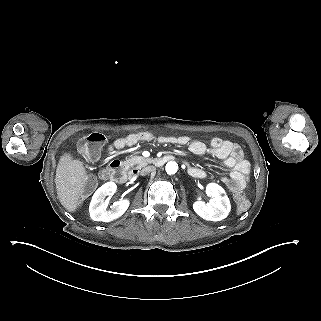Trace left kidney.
<instances>
[{
  "mask_svg": "<svg viewBox=\"0 0 321 321\" xmlns=\"http://www.w3.org/2000/svg\"><path fill=\"white\" fill-rule=\"evenodd\" d=\"M206 194L212 199L209 203L195 202L193 210L207 221H221L225 219L230 211L231 204L225 190L217 183L210 182L206 185Z\"/></svg>",
  "mask_w": 321,
  "mask_h": 321,
  "instance_id": "1",
  "label": "left kidney"
}]
</instances>
